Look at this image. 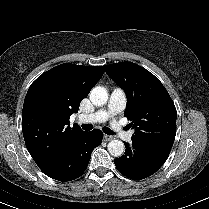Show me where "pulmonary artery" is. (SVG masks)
Here are the masks:
<instances>
[{
    "mask_svg": "<svg viewBox=\"0 0 209 209\" xmlns=\"http://www.w3.org/2000/svg\"><path fill=\"white\" fill-rule=\"evenodd\" d=\"M126 102L127 99L125 92L120 88H115L110 95L107 108L85 116L84 121L101 123L110 120L111 127L115 130L119 137L125 141H131L133 132L123 129L116 119V115L125 108Z\"/></svg>",
    "mask_w": 209,
    "mask_h": 209,
    "instance_id": "obj_1",
    "label": "pulmonary artery"
}]
</instances>
